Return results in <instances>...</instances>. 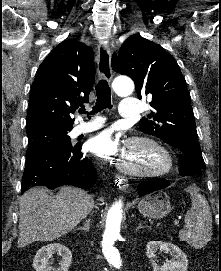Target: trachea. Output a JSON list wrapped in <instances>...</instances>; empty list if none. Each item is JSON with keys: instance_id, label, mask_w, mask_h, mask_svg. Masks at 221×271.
<instances>
[{"instance_id": "obj_1", "label": "trachea", "mask_w": 221, "mask_h": 271, "mask_svg": "<svg viewBox=\"0 0 221 271\" xmlns=\"http://www.w3.org/2000/svg\"><path fill=\"white\" fill-rule=\"evenodd\" d=\"M96 105L93 107L92 111L90 112L91 115L98 113L99 111L104 110L105 108H112L111 104V90L106 80H100L96 85ZM79 113H88L85 111V107L81 106L79 108ZM90 118V116H88Z\"/></svg>"}]
</instances>
